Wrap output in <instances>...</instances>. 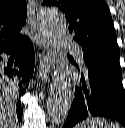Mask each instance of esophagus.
<instances>
[{
    "label": "esophagus",
    "instance_id": "obj_1",
    "mask_svg": "<svg viewBox=\"0 0 125 128\" xmlns=\"http://www.w3.org/2000/svg\"><path fill=\"white\" fill-rule=\"evenodd\" d=\"M36 5L33 0L28 1V7H27V21L30 27V30L33 32L35 36L36 45L39 49L38 57H39V78H41L44 81H47L49 77V73L53 69V53L50 49L49 44L47 41L42 38L40 35L38 28H37V22H36Z\"/></svg>",
    "mask_w": 125,
    "mask_h": 128
}]
</instances>
